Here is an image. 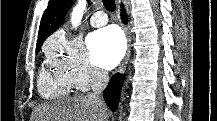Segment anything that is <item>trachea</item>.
Instances as JSON below:
<instances>
[{"label":"trachea","instance_id":"obj_1","mask_svg":"<svg viewBox=\"0 0 217 121\" xmlns=\"http://www.w3.org/2000/svg\"><path fill=\"white\" fill-rule=\"evenodd\" d=\"M102 2L107 11L113 12L115 10V0H102Z\"/></svg>","mask_w":217,"mask_h":121}]
</instances>
